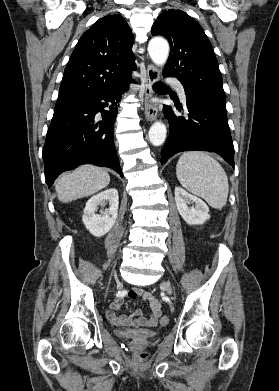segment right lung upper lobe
Instances as JSON below:
<instances>
[{"label":"right lung upper lobe","mask_w":279,"mask_h":391,"mask_svg":"<svg viewBox=\"0 0 279 391\" xmlns=\"http://www.w3.org/2000/svg\"><path fill=\"white\" fill-rule=\"evenodd\" d=\"M133 34L121 15L105 16L78 41L65 68L56 104L110 91L135 69Z\"/></svg>","instance_id":"right-lung-upper-lobe-1"}]
</instances>
